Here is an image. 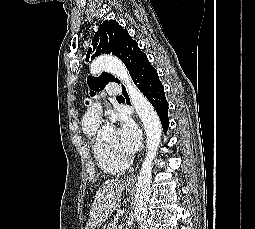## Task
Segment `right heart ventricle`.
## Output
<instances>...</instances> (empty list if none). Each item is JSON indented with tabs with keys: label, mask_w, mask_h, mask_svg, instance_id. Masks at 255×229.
<instances>
[{
	"label": "right heart ventricle",
	"mask_w": 255,
	"mask_h": 229,
	"mask_svg": "<svg viewBox=\"0 0 255 229\" xmlns=\"http://www.w3.org/2000/svg\"><path fill=\"white\" fill-rule=\"evenodd\" d=\"M98 126L83 124V130L88 139L96 164L108 175H122L127 168V163L119 159L97 138Z\"/></svg>",
	"instance_id": "obj_1"
}]
</instances>
